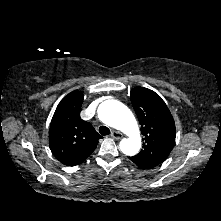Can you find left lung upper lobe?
Masks as SVG:
<instances>
[{"mask_svg":"<svg viewBox=\"0 0 221 221\" xmlns=\"http://www.w3.org/2000/svg\"><path fill=\"white\" fill-rule=\"evenodd\" d=\"M130 98L144 136L143 149L130 159L158 166L166 160L175 142L172 115L162 98L150 89L136 87Z\"/></svg>","mask_w":221,"mask_h":221,"instance_id":"5c2ea615","label":"left lung upper lobe"}]
</instances>
